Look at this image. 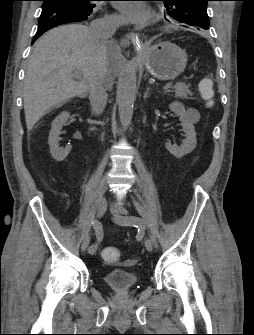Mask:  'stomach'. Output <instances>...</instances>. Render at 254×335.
<instances>
[{
  "label": "stomach",
  "mask_w": 254,
  "mask_h": 335,
  "mask_svg": "<svg viewBox=\"0 0 254 335\" xmlns=\"http://www.w3.org/2000/svg\"><path fill=\"white\" fill-rule=\"evenodd\" d=\"M146 70L161 81L173 80L185 69L187 54L172 42H159L141 52Z\"/></svg>",
  "instance_id": "0dacf381"
}]
</instances>
